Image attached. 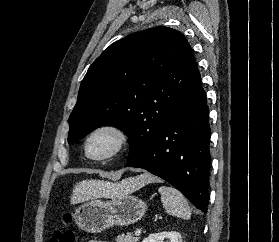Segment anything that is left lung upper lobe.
<instances>
[{"mask_svg": "<svg viewBox=\"0 0 279 242\" xmlns=\"http://www.w3.org/2000/svg\"><path fill=\"white\" fill-rule=\"evenodd\" d=\"M190 44L175 29L160 26L111 44L89 67L69 117L68 142L112 125L129 138L128 161L159 135L195 71Z\"/></svg>", "mask_w": 279, "mask_h": 242, "instance_id": "1", "label": "left lung upper lobe"}]
</instances>
